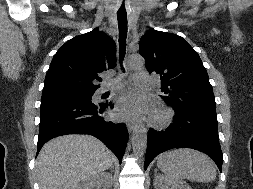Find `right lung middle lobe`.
<instances>
[{
    "label": "right lung middle lobe",
    "mask_w": 253,
    "mask_h": 189,
    "mask_svg": "<svg viewBox=\"0 0 253 189\" xmlns=\"http://www.w3.org/2000/svg\"><path fill=\"white\" fill-rule=\"evenodd\" d=\"M94 90L56 89L42 92L41 100L51 98H72L78 100H91Z\"/></svg>",
    "instance_id": "obj_1"
}]
</instances>
